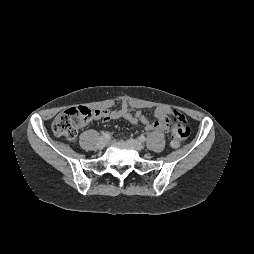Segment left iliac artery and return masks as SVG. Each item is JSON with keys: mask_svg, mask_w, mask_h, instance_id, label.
<instances>
[{"mask_svg": "<svg viewBox=\"0 0 254 254\" xmlns=\"http://www.w3.org/2000/svg\"><path fill=\"white\" fill-rule=\"evenodd\" d=\"M138 139L141 141V142H144L146 140L145 136L144 135H140L138 137Z\"/></svg>", "mask_w": 254, "mask_h": 254, "instance_id": "left-iliac-artery-1", "label": "left iliac artery"}]
</instances>
